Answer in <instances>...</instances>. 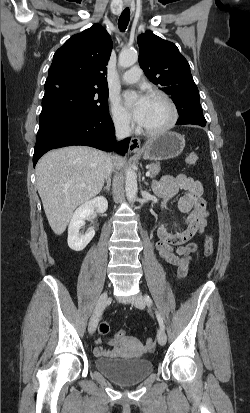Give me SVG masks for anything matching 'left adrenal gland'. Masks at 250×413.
I'll return each instance as SVG.
<instances>
[{
  "instance_id": "1",
  "label": "left adrenal gland",
  "mask_w": 250,
  "mask_h": 413,
  "mask_svg": "<svg viewBox=\"0 0 250 413\" xmlns=\"http://www.w3.org/2000/svg\"><path fill=\"white\" fill-rule=\"evenodd\" d=\"M146 185H148V183L147 182H144Z\"/></svg>"
}]
</instances>
